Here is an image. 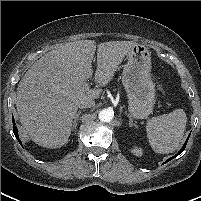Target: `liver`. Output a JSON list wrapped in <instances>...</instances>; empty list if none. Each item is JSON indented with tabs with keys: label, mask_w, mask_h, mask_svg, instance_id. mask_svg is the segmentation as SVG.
Masks as SVG:
<instances>
[{
	"label": "liver",
	"mask_w": 201,
	"mask_h": 201,
	"mask_svg": "<svg viewBox=\"0 0 201 201\" xmlns=\"http://www.w3.org/2000/svg\"><path fill=\"white\" fill-rule=\"evenodd\" d=\"M131 41H110L97 47L95 82L106 86L128 51ZM94 40L60 45L36 61L17 87L16 107L20 121L38 145L63 146L71 133L73 119L82 98L98 99L101 89H84L92 77Z\"/></svg>",
	"instance_id": "1"
}]
</instances>
